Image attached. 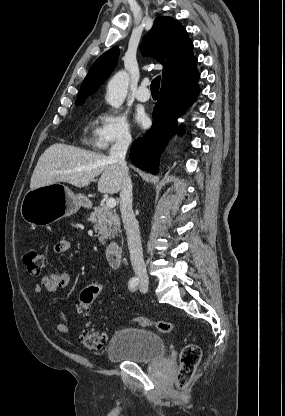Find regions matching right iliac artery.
I'll return each mask as SVG.
<instances>
[{
	"label": "right iliac artery",
	"mask_w": 285,
	"mask_h": 416,
	"mask_svg": "<svg viewBox=\"0 0 285 416\" xmlns=\"http://www.w3.org/2000/svg\"><path fill=\"white\" fill-rule=\"evenodd\" d=\"M138 284H139L138 278L137 277H132L129 280V283H128V287H129L130 291H135L138 287Z\"/></svg>",
	"instance_id": "right-iliac-artery-1"
}]
</instances>
